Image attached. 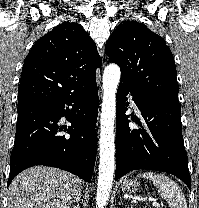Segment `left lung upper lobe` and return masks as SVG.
Returning <instances> with one entry per match:
<instances>
[{"instance_id": "1", "label": "left lung upper lobe", "mask_w": 199, "mask_h": 208, "mask_svg": "<svg viewBox=\"0 0 199 208\" xmlns=\"http://www.w3.org/2000/svg\"><path fill=\"white\" fill-rule=\"evenodd\" d=\"M105 52L120 66L121 81L152 98L179 104L173 55L163 38L144 24L123 22L109 37Z\"/></svg>"}]
</instances>
